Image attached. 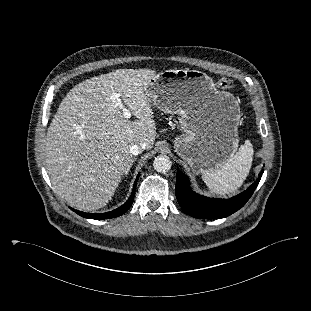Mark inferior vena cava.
I'll return each instance as SVG.
<instances>
[{"mask_svg": "<svg viewBox=\"0 0 311 311\" xmlns=\"http://www.w3.org/2000/svg\"><path fill=\"white\" fill-rule=\"evenodd\" d=\"M145 147H146L145 143L134 144L130 147V152L133 155H138L145 149Z\"/></svg>", "mask_w": 311, "mask_h": 311, "instance_id": "obj_1", "label": "inferior vena cava"}]
</instances>
